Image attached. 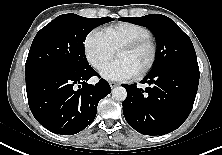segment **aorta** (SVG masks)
Listing matches in <instances>:
<instances>
[{
	"mask_svg": "<svg viewBox=\"0 0 222 155\" xmlns=\"http://www.w3.org/2000/svg\"><path fill=\"white\" fill-rule=\"evenodd\" d=\"M112 97L117 101H124L127 97V91L124 87H115L112 90Z\"/></svg>",
	"mask_w": 222,
	"mask_h": 155,
	"instance_id": "obj_1",
	"label": "aorta"
}]
</instances>
